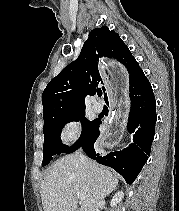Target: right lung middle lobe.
Instances as JSON below:
<instances>
[{
	"instance_id": "right-lung-middle-lobe-1",
	"label": "right lung middle lobe",
	"mask_w": 179,
	"mask_h": 211,
	"mask_svg": "<svg viewBox=\"0 0 179 211\" xmlns=\"http://www.w3.org/2000/svg\"><path fill=\"white\" fill-rule=\"evenodd\" d=\"M81 121L82 133L76 143L68 147L61 141L60 134L63 126L70 121ZM97 120L89 121L85 117V110L76 111L66 115L52 118L44 124V148L42 166L47 165L52 156L61 153H71L78 149L91 135Z\"/></svg>"
}]
</instances>
